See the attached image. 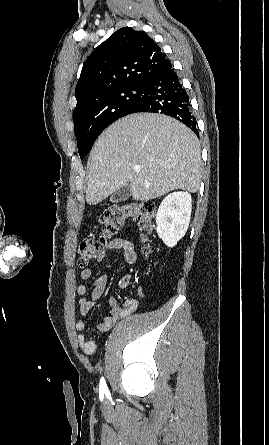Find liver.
<instances>
[{"instance_id": "obj_1", "label": "liver", "mask_w": 269, "mask_h": 445, "mask_svg": "<svg viewBox=\"0 0 269 445\" xmlns=\"http://www.w3.org/2000/svg\"><path fill=\"white\" fill-rule=\"evenodd\" d=\"M140 167L136 172L135 167ZM86 201L96 205L130 182L133 199L148 201L172 190L197 192L201 150L196 135L162 114L123 117L102 132L89 157Z\"/></svg>"}]
</instances>
